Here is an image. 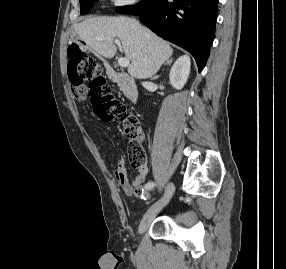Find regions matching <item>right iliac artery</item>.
I'll return each mask as SVG.
<instances>
[{
    "label": "right iliac artery",
    "mask_w": 286,
    "mask_h": 269,
    "mask_svg": "<svg viewBox=\"0 0 286 269\" xmlns=\"http://www.w3.org/2000/svg\"><path fill=\"white\" fill-rule=\"evenodd\" d=\"M154 187V183L153 182H148L147 184H145V189H151Z\"/></svg>",
    "instance_id": "obj_1"
}]
</instances>
